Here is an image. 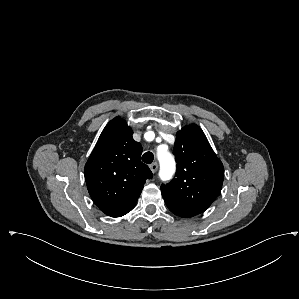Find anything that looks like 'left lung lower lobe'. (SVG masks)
I'll return each instance as SVG.
<instances>
[{
    "instance_id": "obj_1",
    "label": "left lung lower lobe",
    "mask_w": 299,
    "mask_h": 299,
    "mask_svg": "<svg viewBox=\"0 0 299 299\" xmlns=\"http://www.w3.org/2000/svg\"><path fill=\"white\" fill-rule=\"evenodd\" d=\"M165 203H166L167 207L169 208V210L177 216L184 217V218L194 216L193 214L176 207L175 205H173L172 203H170L168 201H165Z\"/></svg>"
}]
</instances>
